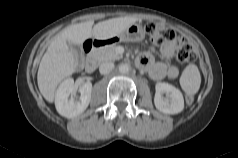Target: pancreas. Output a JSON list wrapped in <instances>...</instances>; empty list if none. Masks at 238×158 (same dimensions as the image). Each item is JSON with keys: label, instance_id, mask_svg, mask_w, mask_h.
<instances>
[{"label": "pancreas", "instance_id": "1", "mask_svg": "<svg viewBox=\"0 0 238 158\" xmlns=\"http://www.w3.org/2000/svg\"><path fill=\"white\" fill-rule=\"evenodd\" d=\"M94 58L99 62H105V61H114L122 58L121 55L116 53V45H107L102 48L97 49L94 52Z\"/></svg>", "mask_w": 238, "mask_h": 158}]
</instances>
